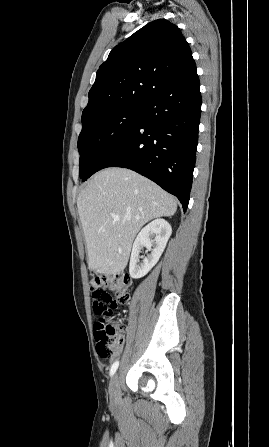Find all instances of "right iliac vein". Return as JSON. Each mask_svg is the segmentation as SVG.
Here are the masks:
<instances>
[{"instance_id": "right-iliac-vein-1", "label": "right iliac vein", "mask_w": 269, "mask_h": 447, "mask_svg": "<svg viewBox=\"0 0 269 447\" xmlns=\"http://www.w3.org/2000/svg\"><path fill=\"white\" fill-rule=\"evenodd\" d=\"M109 395H110V402L113 405H117L120 400V384L118 375L115 374L110 381L109 385Z\"/></svg>"}]
</instances>
